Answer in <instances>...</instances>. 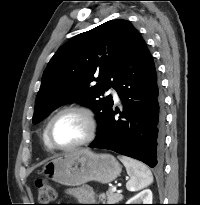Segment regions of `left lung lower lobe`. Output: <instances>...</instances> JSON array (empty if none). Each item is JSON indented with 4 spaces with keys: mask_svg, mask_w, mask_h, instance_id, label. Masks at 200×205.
Wrapping results in <instances>:
<instances>
[{
    "mask_svg": "<svg viewBox=\"0 0 200 205\" xmlns=\"http://www.w3.org/2000/svg\"><path fill=\"white\" fill-rule=\"evenodd\" d=\"M124 108L110 111L91 148L115 151L160 166L164 145V108L152 56L137 34L113 83ZM119 112L118 118L115 115Z\"/></svg>",
    "mask_w": 200,
    "mask_h": 205,
    "instance_id": "1",
    "label": "left lung lower lobe"
}]
</instances>
